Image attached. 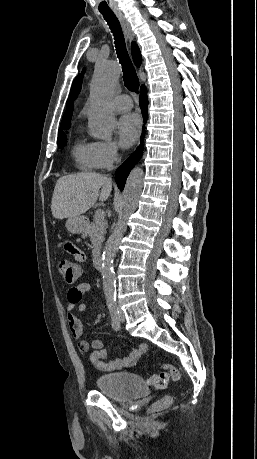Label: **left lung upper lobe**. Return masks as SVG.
I'll return each mask as SVG.
<instances>
[{
	"mask_svg": "<svg viewBox=\"0 0 257 459\" xmlns=\"http://www.w3.org/2000/svg\"><path fill=\"white\" fill-rule=\"evenodd\" d=\"M83 72L81 75H78L73 83V86H72V90H71V95L72 97H76L77 94L79 93L80 89H81V81H82V77H83Z\"/></svg>",
	"mask_w": 257,
	"mask_h": 459,
	"instance_id": "5c2ea615",
	"label": "left lung upper lobe"
}]
</instances>
